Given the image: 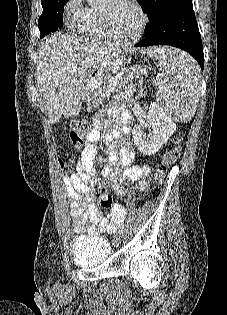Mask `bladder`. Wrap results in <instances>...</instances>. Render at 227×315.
<instances>
[{"label":"bladder","mask_w":227,"mask_h":315,"mask_svg":"<svg viewBox=\"0 0 227 315\" xmlns=\"http://www.w3.org/2000/svg\"><path fill=\"white\" fill-rule=\"evenodd\" d=\"M111 248L106 238L85 236L75 240L72 251L73 261L81 267H96L110 257Z\"/></svg>","instance_id":"31cf9c89"}]
</instances>
